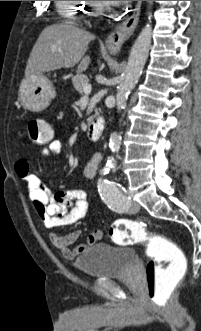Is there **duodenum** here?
<instances>
[{"label": "duodenum", "instance_id": "410a0bca", "mask_svg": "<svg viewBox=\"0 0 201 331\" xmlns=\"http://www.w3.org/2000/svg\"><path fill=\"white\" fill-rule=\"evenodd\" d=\"M104 128V119L102 117H97L89 124L87 134L92 141L96 142L101 138Z\"/></svg>", "mask_w": 201, "mask_h": 331}]
</instances>
